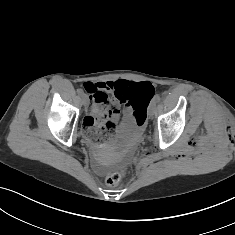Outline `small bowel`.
<instances>
[{
  "label": "small bowel",
  "mask_w": 235,
  "mask_h": 235,
  "mask_svg": "<svg viewBox=\"0 0 235 235\" xmlns=\"http://www.w3.org/2000/svg\"><path fill=\"white\" fill-rule=\"evenodd\" d=\"M131 83L133 82H129L126 80H118V81H106V82L102 81L88 85V88L92 93L104 95L106 99L108 93L115 94L109 98L111 107L106 111L107 120L100 127H97L96 124H92L90 118L104 111V108L103 106L99 105L97 101L91 106L90 109L91 116L87 117L85 122V125L87 126L89 133L93 134L96 137H99L103 134H109V136L111 135L112 131L115 130L120 117L121 99L119 94L120 92L124 91ZM124 114L125 118L123 123L131 124L133 122L131 117V108L125 107Z\"/></svg>",
  "instance_id": "c3829d8e"
}]
</instances>
